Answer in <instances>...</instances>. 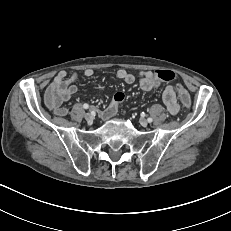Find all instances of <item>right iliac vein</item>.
I'll list each match as a JSON object with an SVG mask.
<instances>
[{"label": "right iliac vein", "mask_w": 231, "mask_h": 231, "mask_svg": "<svg viewBox=\"0 0 231 231\" xmlns=\"http://www.w3.org/2000/svg\"><path fill=\"white\" fill-rule=\"evenodd\" d=\"M84 118L88 121V122H92L93 121V116L91 113L87 112L84 115Z\"/></svg>", "instance_id": "1"}]
</instances>
